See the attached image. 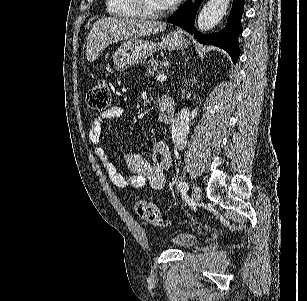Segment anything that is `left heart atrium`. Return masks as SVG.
I'll return each instance as SVG.
<instances>
[{"mask_svg":"<svg viewBox=\"0 0 307 301\" xmlns=\"http://www.w3.org/2000/svg\"><path fill=\"white\" fill-rule=\"evenodd\" d=\"M161 4H181L182 0H160Z\"/></svg>","mask_w":307,"mask_h":301,"instance_id":"1","label":"left heart atrium"}]
</instances>
